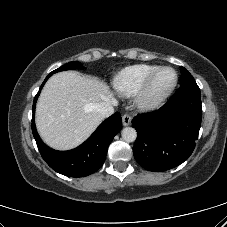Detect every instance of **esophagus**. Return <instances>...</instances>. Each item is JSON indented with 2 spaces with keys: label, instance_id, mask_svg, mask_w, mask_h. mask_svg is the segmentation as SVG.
Returning a JSON list of instances; mask_svg holds the SVG:
<instances>
[{
  "label": "esophagus",
  "instance_id": "34e87169",
  "mask_svg": "<svg viewBox=\"0 0 227 227\" xmlns=\"http://www.w3.org/2000/svg\"><path fill=\"white\" fill-rule=\"evenodd\" d=\"M122 122L124 126H128L131 123V116L128 114H124L122 116Z\"/></svg>",
  "mask_w": 227,
  "mask_h": 227
}]
</instances>
